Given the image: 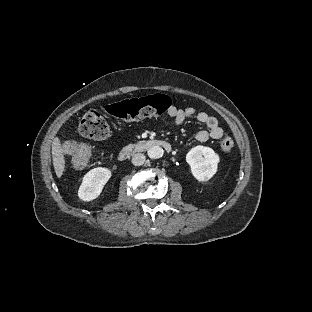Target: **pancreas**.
Here are the masks:
<instances>
[{
  "mask_svg": "<svg viewBox=\"0 0 312 312\" xmlns=\"http://www.w3.org/2000/svg\"><path fill=\"white\" fill-rule=\"evenodd\" d=\"M147 143V141L143 140V141H140V142H137L134 144V147L136 150H142L143 149V145H145Z\"/></svg>",
  "mask_w": 312,
  "mask_h": 312,
  "instance_id": "cf45deb5",
  "label": "pancreas"
}]
</instances>
